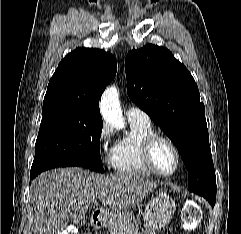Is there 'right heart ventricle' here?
Instances as JSON below:
<instances>
[{
  "label": "right heart ventricle",
  "instance_id": "obj_1",
  "mask_svg": "<svg viewBox=\"0 0 241 234\" xmlns=\"http://www.w3.org/2000/svg\"><path fill=\"white\" fill-rule=\"evenodd\" d=\"M130 132L111 150L110 163L115 172L128 176H151L142 159L144 140L155 133L151 123L129 122Z\"/></svg>",
  "mask_w": 241,
  "mask_h": 234
}]
</instances>
